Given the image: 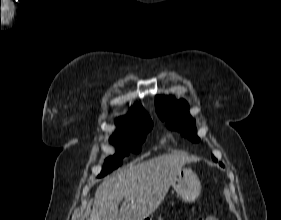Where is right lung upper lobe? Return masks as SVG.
Here are the masks:
<instances>
[{
  "label": "right lung upper lobe",
  "instance_id": "1",
  "mask_svg": "<svg viewBox=\"0 0 281 220\" xmlns=\"http://www.w3.org/2000/svg\"><path fill=\"white\" fill-rule=\"evenodd\" d=\"M145 117H149L146 111L139 105H134L130 110L127 116L121 117L118 119V126L127 125L143 119Z\"/></svg>",
  "mask_w": 281,
  "mask_h": 220
}]
</instances>
